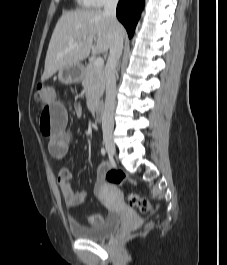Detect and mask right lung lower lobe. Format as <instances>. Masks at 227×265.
Returning <instances> with one entry per match:
<instances>
[{"label": "right lung lower lobe", "instance_id": "obj_1", "mask_svg": "<svg viewBox=\"0 0 227 265\" xmlns=\"http://www.w3.org/2000/svg\"><path fill=\"white\" fill-rule=\"evenodd\" d=\"M143 6L144 0H120L118 3L117 18L125 26L130 38L134 34Z\"/></svg>", "mask_w": 227, "mask_h": 265}]
</instances>
